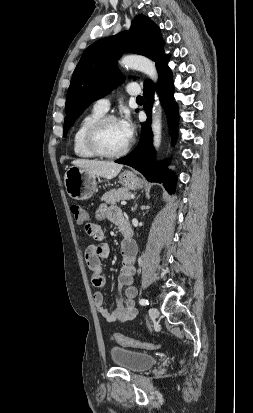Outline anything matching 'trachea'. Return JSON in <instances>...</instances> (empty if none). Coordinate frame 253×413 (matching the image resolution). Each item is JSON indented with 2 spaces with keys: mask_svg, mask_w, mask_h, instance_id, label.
<instances>
[{
  "mask_svg": "<svg viewBox=\"0 0 253 413\" xmlns=\"http://www.w3.org/2000/svg\"><path fill=\"white\" fill-rule=\"evenodd\" d=\"M136 100H137L138 102H142V101H143V97H142V96H138V97L136 98Z\"/></svg>",
  "mask_w": 253,
  "mask_h": 413,
  "instance_id": "3493384b",
  "label": "trachea"
}]
</instances>
